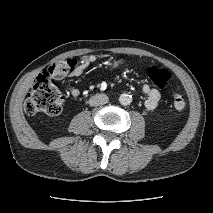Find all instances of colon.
Listing matches in <instances>:
<instances>
[{"label": "colon", "instance_id": "5ec220e1", "mask_svg": "<svg viewBox=\"0 0 213 213\" xmlns=\"http://www.w3.org/2000/svg\"><path fill=\"white\" fill-rule=\"evenodd\" d=\"M75 65L74 59L60 60L40 74L27 96L25 112L30 116L42 114L47 117L60 114L64 107V98L57 88L55 78L65 76ZM148 77L157 87L164 88L170 79V74L165 69L151 67L148 70ZM171 103L176 112H183L186 108L185 99L181 94H173Z\"/></svg>", "mask_w": 213, "mask_h": 213}]
</instances>
